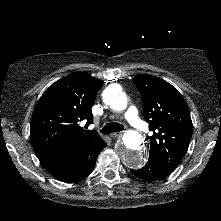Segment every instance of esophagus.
Returning a JSON list of instances; mask_svg holds the SVG:
<instances>
[{
	"label": "esophagus",
	"instance_id": "1",
	"mask_svg": "<svg viewBox=\"0 0 221 221\" xmlns=\"http://www.w3.org/2000/svg\"><path fill=\"white\" fill-rule=\"evenodd\" d=\"M123 132H113L110 136L111 138H117L120 137L122 135Z\"/></svg>",
	"mask_w": 221,
	"mask_h": 221
}]
</instances>
